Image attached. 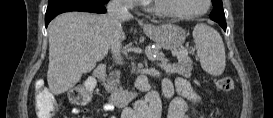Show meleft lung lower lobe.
I'll list each match as a JSON object with an SVG mask.
<instances>
[{
	"label": "left lung lower lobe",
	"instance_id": "left-lung-lower-lobe-1",
	"mask_svg": "<svg viewBox=\"0 0 273 118\" xmlns=\"http://www.w3.org/2000/svg\"><path fill=\"white\" fill-rule=\"evenodd\" d=\"M220 26L226 31V22L225 23H221Z\"/></svg>",
	"mask_w": 273,
	"mask_h": 118
}]
</instances>
